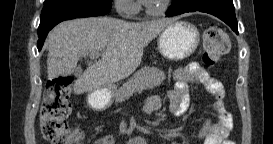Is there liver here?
Listing matches in <instances>:
<instances>
[{
  "instance_id": "obj_1",
  "label": "liver",
  "mask_w": 273,
  "mask_h": 144,
  "mask_svg": "<svg viewBox=\"0 0 273 144\" xmlns=\"http://www.w3.org/2000/svg\"><path fill=\"white\" fill-rule=\"evenodd\" d=\"M175 19L127 22L111 17L64 21L48 34L49 79L72 74L83 55L104 50L100 60L77 79L74 92L81 94L113 87L140 65L143 48Z\"/></svg>"
}]
</instances>
